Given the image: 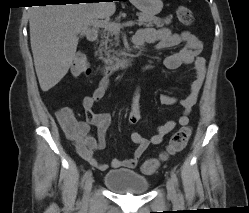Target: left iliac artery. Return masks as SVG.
Instances as JSON below:
<instances>
[{"instance_id": "44dca946", "label": "left iliac artery", "mask_w": 249, "mask_h": 213, "mask_svg": "<svg viewBox=\"0 0 249 213\" xmlns=\"http://www.w3.org/2000/svg\"><path fill=\"white\" fill-rule=\"evenodd\" d=\"M171 179H172L175 187L177 188V191H179L178 190V178H177V175L173 171L171 172Z\"/></svg>"}]
</instances>
